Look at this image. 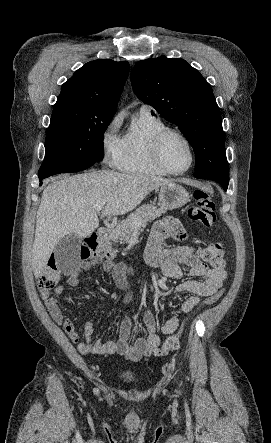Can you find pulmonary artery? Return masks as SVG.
I'll use <instances>...</instances> for the list:
<instances>
[{"mask_svg": "<svg viewBox=\"0 0 271 443\" xmlns=\"http://www.w3.org/2000/svg\"><path fill=\"white\" fill-rule=\"evenodd\" d=\"M140 111H142V112H151V107L148 106V105H142L140 107Z\"/></svg>", "mask_w": 271, "mask_h": 443, "instance_id": "obj_1", "label": "pulmonary artery"}]
</instances>
